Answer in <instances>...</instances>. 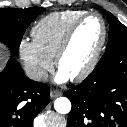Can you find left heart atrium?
<instances>
[{
    "mask_svg": "<svg viewBox=\"0 0 127 127\" xmlns=\"http://www.w3.org/2000/svg\"><path fill=\"white\" fill-rule=\"evenodd\" d=\"M69 78L70 76H68L66 73L60 70L56 76V81L59 83H63L69 80Z\"/></svg>",
    "mask_w": 127,
    "mask_h": 127,
    "instance_id": "obj_1",
    "label": "left heart atrium"
}]
</instances>
